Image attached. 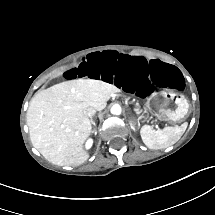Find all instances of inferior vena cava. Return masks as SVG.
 I'll use <instances>...</instances> for the list:
<instances>
[{
	"instance_id": "obj_1",
	"label": "inferior vena cava",
	"mask_w": 215,
	"mask_h": 215,
	"mask_svg": "<svg viewBox=\"0 0 215 215\" xmlns=\"http://www.w3.org/2000/svg\"><path fill=\"white\" fill-rule=\"evenodd\" d=\"M95 113H96V109L93 107H86L83 109V115L85 117L92 118L95 115Z\"/></svg>"
}]
</instances>
